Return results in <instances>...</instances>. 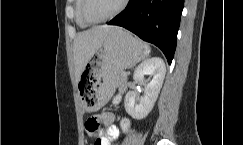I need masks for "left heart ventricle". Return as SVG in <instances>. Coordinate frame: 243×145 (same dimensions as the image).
Masks as SVG:
<instances>
[{
    "instance_id": "1",
    "label": "left heart ventricle",
    "mask_w": 243,
    "mask_h": 145,
    "mask_svg": "<svg viewBox=\"0 0 243 145\" xmlns=\"http://www.w3.org/2000/svg\"><path fill=\"white\" fill-rule=\"evenodd\" d=\"M121 3L122 0H89L87 15L91 20H101L117 10Z\"/></svg>"
}]
</instances>
